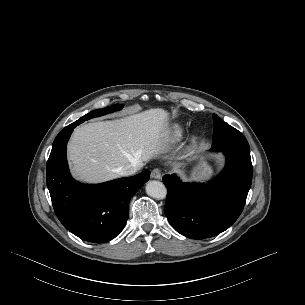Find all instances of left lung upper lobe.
I'll return each instance as SVG.
<instances>
[{"instance_id": "1", "label": "left lung upper lobe", "mask_w": 305, "mask_h": 305, "mask_svg": "<svg viewBox=\"0 0 305 305\" xmlns=\"http://www.w3.org/2000/svg\"><path fill=\"white\" fill-rule=\"evenodd\" d=\"M213 122V148L242 147L249 149L246 138L237 129L224 122L216 114H213Z\"/></svg>"}]
</instances>
